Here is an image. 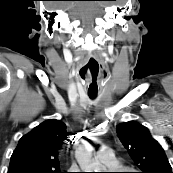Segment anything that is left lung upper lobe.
Here are the masks:
<instances>
[{
  "instance_id": "obj_1",
  "label": "left lung upper lobe",
  "mask_w": 173,
  "mask_h": 173,
  "mask_svg": "<svg viewBox=\"0 0 173 173\" xmlns=\"http://www.w3.org/2000/svg\"><path fill=\"white\" fill-rule=\"evenodd\" d=\"M116 131L141 173H173L164 149L145 126L129 121L119 124Z\"/></svg>"
}]
</instances>
